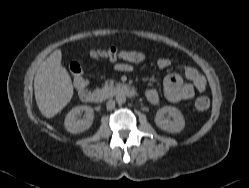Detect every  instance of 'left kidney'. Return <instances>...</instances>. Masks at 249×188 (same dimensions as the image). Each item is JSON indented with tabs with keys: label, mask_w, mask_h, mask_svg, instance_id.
Masks as SVG:
<instances>
[{
	"label": "left kidney",
	"mask_w": 249,
	"mask_h": 188,
	"mask_svg": "<svg viewBox=\"0 0 249 188\" xmlns=\"http://www.w3.org/2000/svg\"><path fill=\"white\" fill-rule=\"evenodd\" d=\"M167 113L173 120L165 118V114ZM155 123L161 130L169 133L181 132L185 127V120L182 113L176 107L171 106H164L157 111Z\"/></svg>",
	"instance_id": "left-kidney-1"
}]
</instances>
